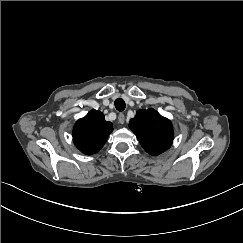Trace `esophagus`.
Listing matches in <instances>:
<instances>
[{"label":"esophagus","mask_w":243,"mask_h":243,"mask_svg":"<svg viewBox=\"0 0 243 243\" xmlns=\"http://www.w3.org/2000/svg\"><path fill=\"white\" fill-rule=\"evenodd\" d=\"M118 121H119V123H120L121 125L124 124V122H125V116H124V114L120 113V114L118 115Z\"/></svg>","instance_id":"obj_1"}]
</instances>
